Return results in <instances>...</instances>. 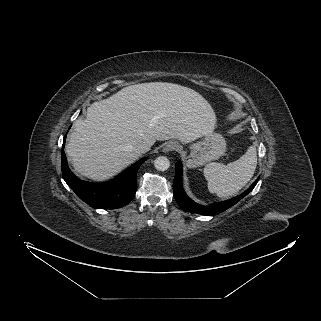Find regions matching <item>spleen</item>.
<instances>
[{
  "instance_id": "3e777b00",
  "label": "spleen",
  "mask_w": 321,
  "mask_h": 321,
  "mask_svg": "<svg viewBox=\"0 0 321 321\" xmlns=\"http://www.w3.org/2000/svg\"><path fill=\"white\" fill-rule=\"evenodd\" d=\"M257 166V151L250 146L238 160L227 165L209 163L204 167L208 190L218 197H229L241 190L252 178Z\"/></svg>"
}]
</instances>
